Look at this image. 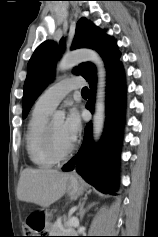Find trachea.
<instances>
[{
    "instance_id": "trachea-1",
    "label": "trachea",
    "mask_w": 158,
    "mask_h": 237,
    "mask_svg": "<svg viewBox=\"0 0 158 237\" xmlns=\"http://www.w3.org/2000/svg\"><path fill=\"white\" fill-rule=\"evenodd\" d=\"M82 95H89V90H88V88H83L82 89Z\"/></svg>"
}]
</instances>
